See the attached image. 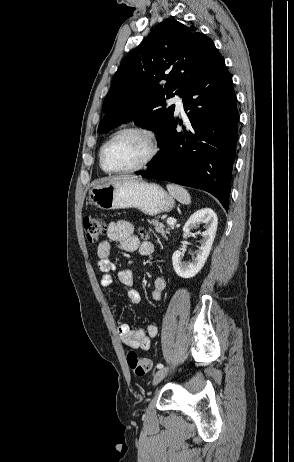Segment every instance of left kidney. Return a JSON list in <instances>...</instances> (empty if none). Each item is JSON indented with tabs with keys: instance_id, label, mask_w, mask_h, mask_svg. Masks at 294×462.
Wrapping results in <instances>:
<instances>
[{
	"instance_id": "obj_1",
	"label": "left kidney",
	"mask_w": 294,
	"mask_h": 462,
	"mask_svg": "<svg viewBox=\"0 0 294 462\" xmlns=\"http://www.w3.org/2000/svg\"><path fill=\"white\" fill-rule=\"evenodd\" d=\"M200 223L205 224V230L201 233L202 239L196 257H193L191 262L186 263L182 261L183 253L181 251H175L172 256L174 270L182 278H192L202 269L214 242L218 218L210 208L198 210L190 216L183 227V237L186 238L190 230L198 227Z\"/></svg>"
}]
</instances>
